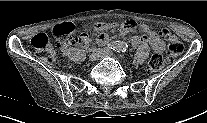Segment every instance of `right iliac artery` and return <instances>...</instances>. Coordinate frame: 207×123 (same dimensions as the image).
<instances>
[{
	"label": "right iliac artery",
	"instance_id": "right-iliac-artery-1",
	"mask_svg": "<svg viewBox=\"0 0 207 123\" xmlns=\"http://www.w3.org/2000/svg\"><path fill=\"white\" fill-rule=\"evenodd\" d=\"M117 47H125V44L124 43H116V42H114V43L108 44L106 48L114 50Z\"/></svg>",
	"mask_w": 207,
	"mask_h": 123
}]
</instances>
